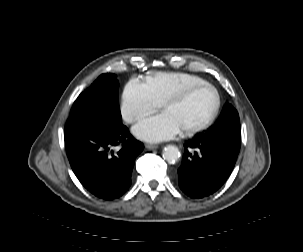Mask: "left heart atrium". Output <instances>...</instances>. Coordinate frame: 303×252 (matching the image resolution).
Masks as SVG:
<instances>
[{
    "label": "left heart atrium",
    "instance_id": "left-heart-atrium-1",
    "mask_svg": "<svg viewBox=\"0 0 303 252\" xmlns=\"http://www.w3.org/2000/svg\"><path fill=\"white\" fill-rule=\"evenodd\" d=\"M179 131V127L168 113L146 118L135 128L136 135L148 141L168 140L178 135Z\"/></svg>",
    "mask_w": 303,
    "mask_h": 252
}]
</instances>
